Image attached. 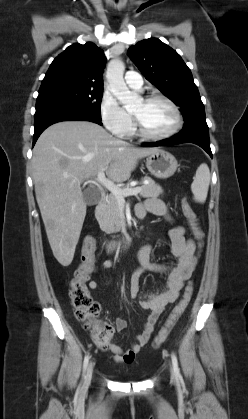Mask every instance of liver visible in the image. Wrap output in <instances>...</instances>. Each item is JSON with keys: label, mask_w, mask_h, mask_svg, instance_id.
<instances>
[{"label": "liver", "mask_w": 248, "mask_h": 419, "mask_svg": "<svg viewBox=\"0 0 248 419\" xmlns=\"http://www.w3.org/2000/svg\"><path fill=\"white\" fill-rule=\"evenodd\" d=\"M158 150L134 147L88 121L59 122L41 134L32 158L35 194L53 255L62 266L73 260L86 216L82 182L100 170L124 182L139 159Z\"/></svg>", "instance_id": "obj_1"}]
</instances>
